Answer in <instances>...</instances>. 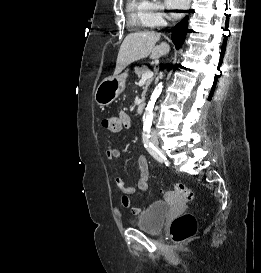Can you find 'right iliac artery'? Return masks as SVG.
I'll list each match as a JSON object with an SVG mask.
<instances>
[{"label": "right iliac artery", "instance_id": "1", "mask_svg": "<svg viewBox=\"0 0 261 273\" xmlns=\"http://www.w3.org/2000/svg\"><path fill=\"white\" fill-rule=\"evenodd\" d=\"M143 143L148 152L160 163L163 162V155L161 152L152 144L150 140V129H144L143 131Z\"/></svg>", "mask_w": 261, "mask_h": 273}]
</instances>
